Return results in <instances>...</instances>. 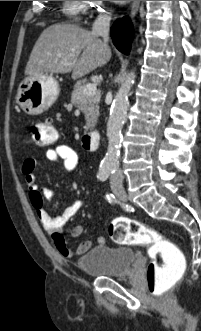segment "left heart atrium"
I'll list each match as a JSON object with an SVG mask.
<instances>
[{"label": "left heart atrium", "mask_w": 201, "mask_h": 331, "mask_svg": "<svg viewBox=\"0 0 201 331\" xmlns=\"http://www.w3.org/2000/svg\"><path fill=\"white\" fill-rule=\"evenodd\" d=\"M114 2H116V3H120V4H123V3H126V2H128V1H114Z\"/></svg>", "instance_id": "1"}]
</instances>
